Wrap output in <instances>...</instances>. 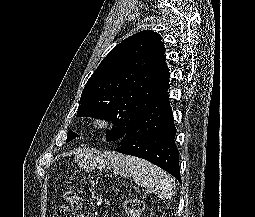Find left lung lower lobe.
I'll use <instances>...</instances> for the list:
<instances>
[{
  "instance_id": "obj_1",
  "label": "left lung lower lobe",
  "mask_w": 255,
  "mask_h": 217,
  "mask_svg": "<svg viewBox=\"0 0 255 217\" xmlns=\"http://www.w3.org/2000/svg\"><path fill=\"white\" fill-rule=\"evenodd\" d=\"M168 88L133 123L116 151L143 158L164 169L181 183L179 151L174 140L176 128Z\"/></svg>"
}]
</instances>
